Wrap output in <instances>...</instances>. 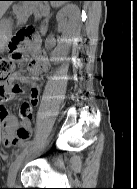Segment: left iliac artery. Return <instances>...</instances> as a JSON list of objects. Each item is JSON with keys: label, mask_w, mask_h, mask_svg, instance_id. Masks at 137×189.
Segmentation results:
<instances>
[{"label": "left iliac artery", "mask_w": 137, "mask_h": 189, "mask_svg": "<svg viewBox=\"0 0 137 189\" xmlns=\"http://www.w3.org/2000/svg\"><path fill=\"white\" fill-rule=\"evenodd\" d=\"M32 144H33L32 141H29V142H27L26 144L23 145L22 149L25 151V150H27L28 148H30V146H31Z\"/></svg>", "instance_id": "44dca946"}]
</instances>
